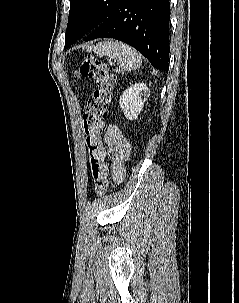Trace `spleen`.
<instances>
[{"instance_id": "spleen-1", "label": "spleen", "mask_w": 239, "mask_h": 303, "mask_svg": "<svg viewBox=\"0 0 239 303\" xmlns=\"http://www.w3.org/2000/svg\"><path fill=\"white\" fill-rule=\"evenodd\" d=\"M93 51L118 62L126 71L138 69L142 64V55L131 46L120 41H104L96 44Z\"/></svg>"}]
</instances>
